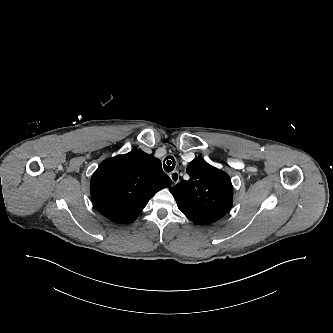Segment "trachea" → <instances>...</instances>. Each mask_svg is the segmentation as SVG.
Wrapping results in <instances>:
<instances>
[{"instance_id": "1", "label": "trachea", "mask_w": 333, "mask_h": 333, "mask_svg": "<svg viewBox=\"0 0 333 333\" xmlns=\"http://www.w3.org/2000/svg\"><path fill=\"white\" fill-rule=\"evenodd\" d=\"M175 159L173 156H167L165 159H164V162H163V167H164V170L166 172H171L174 170L175 168Z\"/></svg>"}]
</instances>
